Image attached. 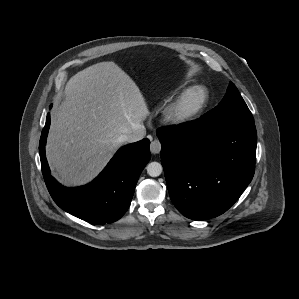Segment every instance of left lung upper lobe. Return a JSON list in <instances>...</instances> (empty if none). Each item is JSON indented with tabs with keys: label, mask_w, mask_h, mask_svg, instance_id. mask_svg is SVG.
Masks as SVG:
<instances>
[{
	"label": "left lung upper lobe",
	"mask_w": 299,
	"mask_h": 299,
	"mask_svg": "<svg viewBox=\"0 0 299 299\" xmlns=\"http://www.w3.org/2000/svg\"><path fill=\"white\" fill-rule=\"evenodd\" d=\"M201 119L214 125L254 124L250 110L232 82L219 105Z\"/></svg>",
	"instance_id": "obj_1"
}]
</instances>
